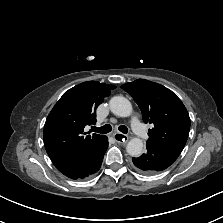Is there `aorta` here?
<instances>
[{"mask_svg":"<svg viewBox=\"0 0 223 223\" xmlns=\"http://www.w3.org/2000/svg\"><path fill=\"white\" fill-rule=\"evenodd\" d=\"M111 112L119 117H129L132 114L130 101L123 96H114L109 101ZM127 153L133 157H139L143 153V141L140 138H132L127 146Z\"/></svg>","mask_w":223,"mask_h":223,"instance_id":"1","label":"aorta"}]
</instances>
